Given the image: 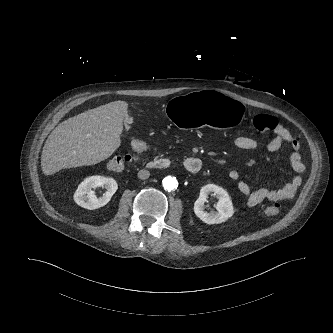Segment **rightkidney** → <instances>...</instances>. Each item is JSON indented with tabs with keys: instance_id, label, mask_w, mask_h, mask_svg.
I'll return each mask as SVG.
<instances>
[{
	"instance_id": "ca27d5eb",
	"label": "right kidney",
	"mask_w": 333,
	"mask_h": 333,
	"mask_svg": "<svg viewBox=\"0 0 333 333\" xmlns=\"http://www.w3.org/2000/svg\"><path fill=\"white\" fill-rule=\"evenodd\" d=\"M103 187L106 192L102 197L97 198L93 188ZM117 182L110 177L90 176L85 178L79 185L74 194V201L81 207L89 210L98 209L106 205L113 194L117 191Z\"/></svg>"
}]
</instances>
